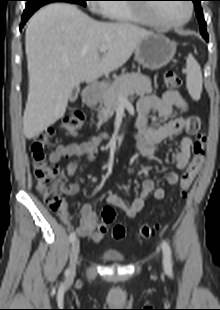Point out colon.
<instances>
[{
  "mask_svg": "<svg viewBox=\"0 0 220 310\" xmlns=\"http://www.w3.org/2000/svg\"><path fill=\"white\" fill-rule=\"evenodd\" d=\"M163 77L164 82L169 87L177 88L181 85V79L172 70L165 71ZM83 122V113L73 111L62 120L59 130L66 135L74 136L80 131ZM57 131L56 129H49L36 135L31 145L36 188L42 195L46 206L52 211H58L62 208L68 189V186L62 179L60 169L50 164L46 156V148L51 144ZM206 143V134L203 132L196 133V139L192 146V158L180 178L179 190L181 193H185L189 189L201 170L204 163ZM115 217L116 213L110 206H105L102 209V221L104 224L112 223ZM158 228V224H144L139 228V236L143 239L151 238ZM125 235V229L121 225H116L112 230V236L115 239H122Z\"/></svg>",
  "mask_w": 220,
  "mask_h": 310,
  "instance_id": "colon-1",
  "label": "colon"
}]
</instances>
